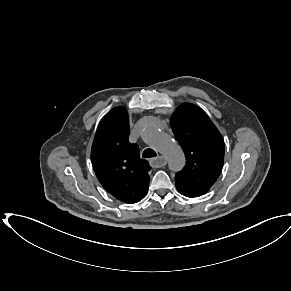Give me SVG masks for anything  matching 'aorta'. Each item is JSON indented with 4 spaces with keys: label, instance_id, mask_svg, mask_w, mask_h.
Instances as JSON below:
<instances>
[{
    "label": "aorta",
    "instance_id": "1",
    "mask_svg": "<svg viewBox=\"0 0 291 291\" xmlns=\"http://www.w3.org/2000/svg\"><path fill=\"white\" fill-rule=\"evenodd\" d=\"M143 139L168 159L172 170H181L185 165V155L174 139L163 133L154 125L147 126L143 131Z\"/></svg>",
    "mask_w": 291,
    "mask_h": 291
}]
</instances>
